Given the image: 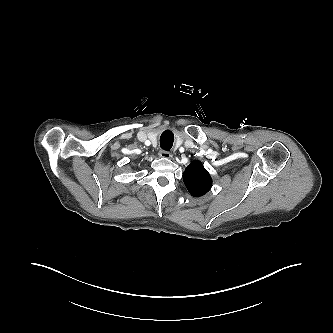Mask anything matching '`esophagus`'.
Here are the masks:
<instances>
[{
	"instance_id": "obj_1",
	"label": "esophagus",
	"mask_w": 333,
	"mask_h": 333,
	"mask_svg": "<svg viewBox=\"0 0 333 333\" xmlns=\"http://www.w3.org/2000/svg\"><path fill=\"white\" fill-rule=\"evenodd\" d=\"M159 156H160L161 158H165V159H170V158H172V154H171L170 152L166 151V150H161V151L159 152Z\"/></svg>"
}]
</instances>
